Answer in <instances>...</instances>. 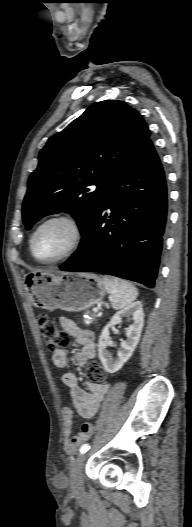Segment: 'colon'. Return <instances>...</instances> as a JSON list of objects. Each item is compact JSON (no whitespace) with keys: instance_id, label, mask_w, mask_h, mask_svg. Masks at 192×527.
I'll list each match as a JSON object with an SVG mask.
<instances>
[{"instance_id":"colon-1","label":"colon","mask_w":192,"mask_h":527,"mask_svg":"<svg viewBox=\"0 0 192 527\" xmlns=\"http://www.w3.org/2000/svg\"><path fill=\"white\" fill-rule=\"evenodd\" d=\"M37 323L42 339L51 351L62 349L70 343L68 333L47 315H39ZM86 377L90 383L101 385L106 380V373L98 362L92 361L87 365Z\"/></svg>"}]
</instances>
